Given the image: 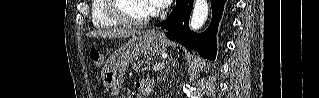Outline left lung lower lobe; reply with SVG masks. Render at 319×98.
Instances as JSON below:
<instances>
[{
    "instance_id": "1",
    "label": "left lung lower lobe",
    "mask_w": 319,
    "mask_h": 98,
    "mask_svg": "<svg viewBox=\"0 0 319 98\" xmlns=\"http://www.w3.org/2000/svg\"><path fill=\"white\" fill-rule=\"evenodd\" d=\"M226 0H211L212 20L204 33H194L188 27L193 0H176L169 17L157 26L168 29L166 36L181 45L196 50L203 58L213 60L216 54V31Z\"/></svg>"
}]
</instances>
